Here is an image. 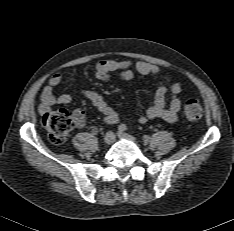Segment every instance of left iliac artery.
Masks as SVG:
<instances>
[{
	"mask_svg": "<svg viewBox=\"0 0 234 231\" xmlns=\"http://www.w3.org/2000/svg\"><path fill=\"white\" fill-rule=\"evenodd\" d=\"M118 130L119 131H126L127 130V126L125 125V124H120L119 126H118Z\"/></svg>",
	"mask_w": 234,
	"mask_h": 231,
	"instance_id": "44dca946",
	"label": "left iliac artery"
}]
</instances>
